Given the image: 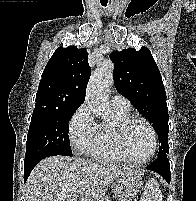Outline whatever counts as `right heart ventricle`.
Instances as JSON below:
<instances>
[{
    "mask_svg": "<svg viewBox=\"0 0 196 201\" xmlns=\"http://www.w3.org/2000/svg\"><path fill=\"white\" fill-rule=\"evenodd\" d=\"M114 109L113 123L99 124L98 138L90 151V155L97 160L128 163L122 155L116 141L117 124L131 116L130 110Z\"/></svg>",
    "mask_w": 196,
    "mask_h": 201,
    "instance_id": "right-heart-ventricle-1",
    "label": "right heart ventricle"
}]
</instances>
